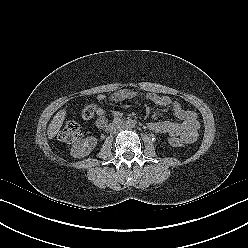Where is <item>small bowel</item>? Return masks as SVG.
Instances as JSON below:
<instances>
[{
	"mask_svg": "<svg viewBox=\"0 0 248 248\" xmlns=\"http://www.w3.org/2000/svg\"><path fill=\"white\" fill-rule=\"evenodd\" d=\"M143 98L158 106L171 107L174 116L178 121H151L148 123V128L159 134L169 136H179L185 140L186 143H192L197 139L200 123L197 114L185 109L180 102L171 99L169 96L158 95L156 93L140 94L135 90L120 89L113 92L108 99L111 102L119 103L127 100ZM107 100V96L99 94L97 101L102 103ZM117 116V113H113ZM108 119L105 110L102 107L96 109V125L99 128L107 127Z\"/></svg>",
	"mask_w": 248,
	"mask_h": 248,
	"instance_id": "c3829d8e",
	"label": "small bowel"
}]
</instances>
